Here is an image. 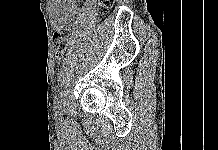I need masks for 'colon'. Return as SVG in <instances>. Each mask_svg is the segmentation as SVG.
<instances>
[{"mask_svg":"<svg viewBox=\"0 0 218 150\" xmlns=\"http://www.w3.org/2000/svg\"><path fill=\"white\" fill-rule=\"evenodd\" d=\"M114 0H99L97 4L98 13L106 14L112 7ZM71 36L69 26H61L53 36V48L55 54L59 55L66 49Z\"/></svg>","mask_w":218,"mask_h":150,"instance_id":"1","label":"colon"}]
</instances>
